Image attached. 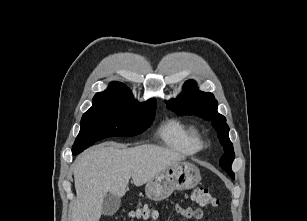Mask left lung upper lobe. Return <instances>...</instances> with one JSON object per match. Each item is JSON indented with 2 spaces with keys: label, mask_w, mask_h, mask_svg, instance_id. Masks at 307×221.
I'll list each match as a JSON object with an SVG mask.
<instances>
[{
  "label": "left lung upper lobe",
  "mask_w": 307,
  "mask_h": 221,
  "mask_svg": "<svg viewBox=\"0 0 307 221\" xmlns=\"http://www.w3.org/2000/svg\"><path fill=\"white\" fill-rule=\"evenodd\" d=\"M183 88V92L176 99L166 101L167 107L173 109L179 115L195 114L206 120L213 121V125L218 132V138L225 151L219 164L223 170L234 178L231 164L235 153L228 137L229 127L226 123V118L217 112L218 103L214 95L210 92L200 91L193 80L187 81Z\"/></svg>",
  "instance_id": "left-lung-upper-lobe-1"
}]
</instances>
